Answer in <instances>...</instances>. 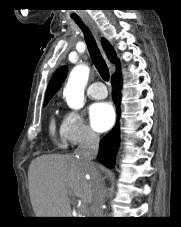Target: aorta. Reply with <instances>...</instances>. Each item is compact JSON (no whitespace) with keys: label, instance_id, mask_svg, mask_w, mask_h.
<instances>
[{"label":"aorta","instance_id":"1","mask_svg":"<svg viewBox=\"0 0 181 227\" xmlns=\"http://www.w3.org/2000/svg\"><path fill=\"white\" fill-rule=\"evenodd\" d=\"M89 71L86 64H79L72 69L69 75L63 97L71 109L78 110L84 106V89L88 82Z\"/></svg>","mask_w":181,"mask_h":227}]
</instances>
